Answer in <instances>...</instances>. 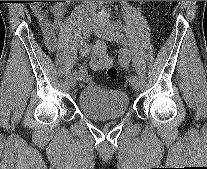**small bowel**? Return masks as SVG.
Returning <instances> with one entry per match:
<instances>
[{"label": "small bowel", "mask_w": 207, "mask_h": 169, "mask_svg": "<svg viewBox=\"0 0 207 169\" xmlns=\"http://www.w3.org/2000/svg\"><path fill=\"white\" fill-rule=\"evenodd\" d=\"M33 11L38 21L39 29L46 48L51 52L55 51L57 46V30L62 25V17L65 13V7L62 4L54 6L51 13L52 16L41 8H34ZM85 72V69L81 70V72L79 71L82 78L85 75Z\"/></svg>", "instance_id": "obj_1"}]
</instances>
